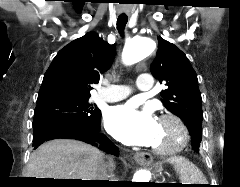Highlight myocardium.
<instances>
[{"label":"myocardium","mask_w":240,"mask_h":187,"mask_svg":"<svg viewBox=\"0 0 240 187\" xmlns=\"http://www.w3.org/2000/svg\"><path fill=\"white\" fill-rule=\"evenodd\" d=\"M159 122L171 123L177 131V139L171 145L165 147H152L151 152L156 155H172L183 150L189 143L190 134L185 122L174 113H164L159 117Z\"/></svg>","instance_id":"obj_1"}]
</instances>
